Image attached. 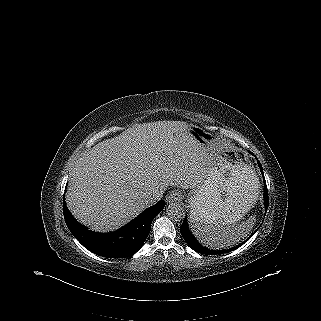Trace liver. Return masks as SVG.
<instances>
[{
  "label": "liver",
  "mask_w": 321,
  "mask_h": 321,
  "mask_svg": "<svg viewBox=\"0 0 321 321\" xmlns=\"http://www.w3.org/2000/svg\"><path fill=\"white\" fill-rule=\"evenodd\" d=\"M183 121L136 124L79 158L66 194L74 217L93 230L125 225L147 208L143 198L167 186L195 188L208 168L207 150ZM176 146L177 154L167 148Z\"/></svg>",
  "instance_id": "1"
}]
</instances>
